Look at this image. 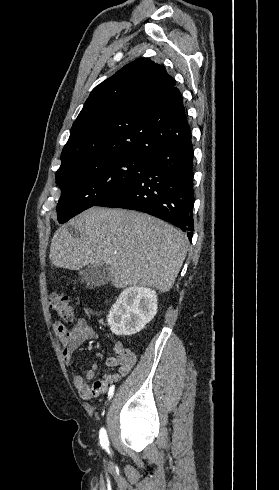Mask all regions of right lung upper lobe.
<instances>
[{
    "label": "right lung upper lobe",
    "instance_id": "1",
    "mask_svg": "<svg viewBox=\"0 0 279 490\" xmlns=\"http://www.w3.org/2000/svg\"><path fill=\"white\" fill-rule=\"evenodd\" d=\"M190 137L176 81L165 66L140 58L93 89L73 123L56 175L98 158L151 160Z\"/></svg>",
    "mask_w": 279,
    "mask_h": 490
}]
</instances>
